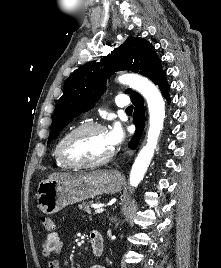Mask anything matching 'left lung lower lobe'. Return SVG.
Wrapping results in <instances>:
<instances>
[{
	"mask_svg": "<svg viewBox=\"0 0 221 268\" xmlns=\"http://www.w3.org/2000/svg\"><path fill=\"white\" fill-rule=\"evenodd\" d=\"M158 86L160 88L161 93L163 94V96L166 98V100L168 101V103H170V99H169V85L168 82L166 80V78L162 79L159 83ZM132 103L135 105L134 108V121L133 123L136 126V131L135 134L133 136V138L131 139V141L129 142V148L131 149H136L137 144L140 141L142 132L144 130V125H145V107L143 105V98L142 96L136 95L135 97L131 98Z\"/></svg>",
	"mask_w": 221,
	"mask_h": 268,
	"instance_id": "1",
	"label": "left lung lower lobe"
}]
</instances>
